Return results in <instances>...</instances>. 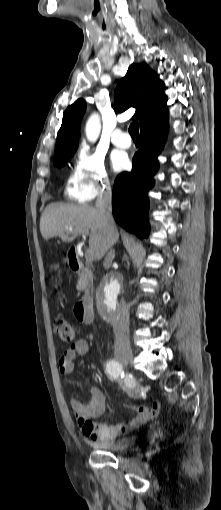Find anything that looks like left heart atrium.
Instances as JSON below:
<instances>
[{"label":"left heart atrium","instance_id":"39dd6f15","mask_svg":"<svg viewBox=\"0 0 221 510\" xmlns=\"http://www.w3.org/2000/svg\"><path fill=\"white\" fill-rule=\"evenodd\" d=\"M111 160H112L113 168L117 171L123 169L127 163V159H126L125 155L121 152H114Z\"/></svg>","mask_w":221,"mask_h":510}]
</instances>
